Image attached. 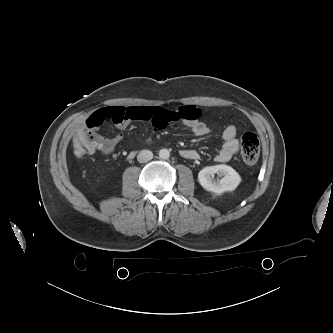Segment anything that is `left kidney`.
<instances>
[{
  "label": "left kidney",
  "instance_id": "5707ae66",
  "mask_svg": "<svg viewBox=\"0 0 333 333\" xmlns=\"http://www.w3.org/2000/svg\"><path fill=\"white\" fill-rule=\"evenodd\" d=\"M215 173H219L223 178L219 181L213 180ZM198 180L205 190L221 194L235 190L241 182V177L232 167L221 164L203 168L198 173Z\"/></svg>",
  "mask_w": 333,
  "mask_h": 333
}]
</instances>
